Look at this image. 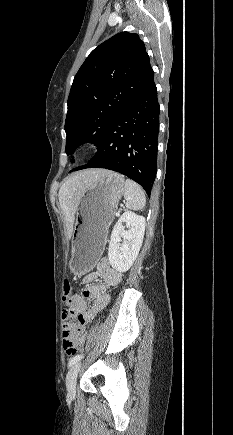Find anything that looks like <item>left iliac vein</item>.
Listing matches in <instances>:
<instances>
[{"mask_svg": "<svg viewBox=\"0 0 233 435\" xmlns=\"http://www.w3.org/2000/svg\"><path fill=\"white\" fill-rule=\"evenodd\" d=\"M81 363L77 361L72 365L66 376V388L69 395H74L76 392V380L80 370Z\"/></svg>", "mask_w": 233, "mask_h": 435, "instance_id": "1", "label": "left iliac vein"}]
</instances>
